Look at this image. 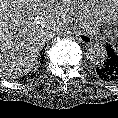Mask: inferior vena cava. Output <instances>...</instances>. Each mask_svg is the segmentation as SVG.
<instances>
[{"label": "inferior vena cava", "instance_id": "inferior-vena-cava-1", "mask_svg": "<svg viewBox=\"0 0 118 118\" xmlns=\"http://www.w3.org/2000/svg\"><path fill=\"white\" fill-rule=\"evenodd\" d=\"M52 29H53V31L54 32H59V30H60V26H58V25H54L53 27H52Z\"/></svg>", "mask_w": 118, "mask_h": 118}]
</instances>
